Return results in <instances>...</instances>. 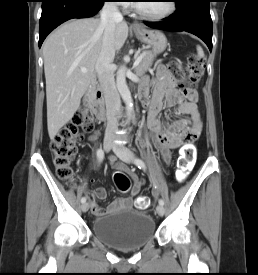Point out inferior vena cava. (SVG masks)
Returning a JSON list of instances; mask_svg holds the SVG:
<instances>
[{
    "instance_id": "obj_1",
    "label": "inferior vena cava",
    "mask_w": 258,
    "mask_h": 275,
    "mask_svg": "<svg viewBox=\"0 0 258 275\" xmlns=\"http://www.w3.org/2000/svg\"><path fill=\"white\" fill-rule=\"evenodd\" d=\"M123 21V16L113 2H106L100 15V26L104 29L101 52L95 69L106 103L107 127L105 136H113L117 129V115L120 112L121 102L115 86L111 67L115 57V28Z\"/></svg>"
}]
</instances>
